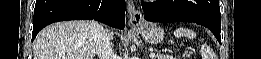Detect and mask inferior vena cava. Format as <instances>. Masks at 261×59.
Wrapping results in <instances>:
<instances>
[{
  "label": "inferior vena cava",
  "instance_id": "obj_1",
  "mask_svg": "<svg viewBox=\"0 0 261 59\" xmlns=\"http://www.w3.org/2000/svg\"><path fill=\"white\" fill-rule=\"evenodd\" d=\"M93 38L99 59H117L111 47L109 33L97 22L93 25Z\"/></svg>",
  "mask_w": 261,
  "mask_h": 59
}]
</instances>
